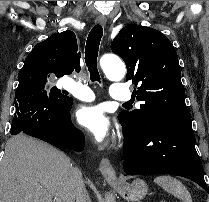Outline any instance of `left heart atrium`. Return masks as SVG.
<instances>
[{
  "mask_svg": "<svg viewBox=\"0 0 209 202\" xmlns=\"http://www.w3.org/2000/svg\"><path fill=\"white\" fill-rule=\"evenodd\" d=\"M77 122L97 142L104 140L110 130V122L100 106H84L76 111Z\"/></svg>",
  "mask_w": 209,
  "mask_h": 202,
  "instance_id": "39dd6f15",
  "label": "left heart atrium"
}]
</instances>
